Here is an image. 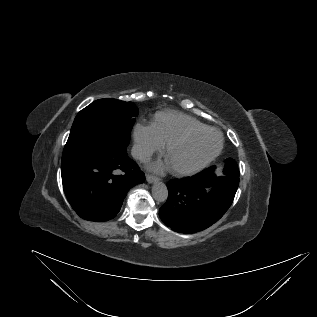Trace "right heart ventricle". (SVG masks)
Masks as SVG:
<instances>
[{
	"label": "right heart ventricle",
	"mask_w": 317,
	"mask_h": 317,
	"mask_svg": "<svg viewBox=\"0 0 317 317\" xmlns=\"http://www.w3.org/2000/svg\"><path fill=\"white\" fill-rule=\"evenodd\" d=\"M150 126L162 146L187 130L206 127L197 119L177 111L155 113Z\"/></svg>",
	"instance_id": "1"
}]
</instances>
